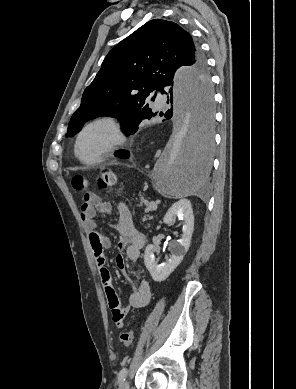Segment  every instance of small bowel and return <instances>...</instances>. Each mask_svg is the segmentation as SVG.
<instances>
[{
  "label": "small bowel",
  "instance_id": "small-bowel-1",
  "mask_svg": "<svg viewBox=\"0 0 296 389\" xmlns=\"http://www.w3.org/2000/svg\"><path fill=\"white\" fill-rule=\"evenodd\" d=\"M111 211L110 203L102 200L98 195L89 192L84 195L81 205V221L83 228L88 235L89 243L93 252V256L98 268V272L104 287L108 306L112 312L113 323L122 327L126 313L130 308L145 307L151 300V287L148 279L142 272L137 274V286L129 296L127 305L122 307L116 291L113 286L111 274L106 267L105 250L110 248L111 240L109 237L99 233L96 230L95 218L97 213H109ZM118 220L115 228L119 233L118 249L123 251L117 255L115 263L117 268L125 272L126 261H137L140 257V252L145 246V236L134 226L132 215L128 207L124 203H119L117 206ZM120 313L122 318L120 321H114V314Z\"/></svg>",
  "mask_w": 296,
  "mask_h": 389
}]
</instances>
